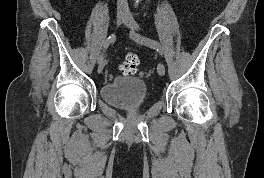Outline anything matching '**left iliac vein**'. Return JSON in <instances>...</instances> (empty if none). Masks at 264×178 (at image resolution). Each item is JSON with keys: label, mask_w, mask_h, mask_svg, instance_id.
<instances>
[{"label": "left iliac vein", "mask_w": 264, "mask_h": 178, "mask_svg": "<svg viewBox=\"0 0 264 178\" xmlns=\"http://www.w3.org/2000/svg\"><path fill=\"white\" fill-rule=\"evenodd\" d=\"M124 24L131 29L132 32L139 29L137 22L130 15L127 16V19L124 21ZM157 72L160 76L165 74V66L163 63H159L157 66Z\"/></svg>", "instance_id": "1"}]
</instances>
